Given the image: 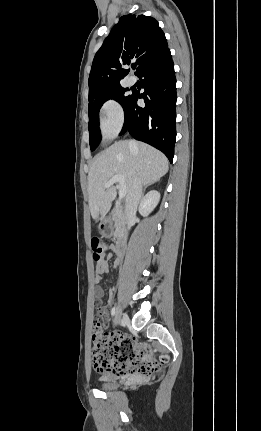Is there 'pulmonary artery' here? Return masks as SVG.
I'll return each mask as SVG.
<instances>
[{
	"mask_svg": "<svg viewBox=\"0 0 261 431\" xmlns=\"http://www.w3.org/2000/svg\"><path fill=\"white\" fill-rule=\"evenodd\" d=\"M135 83H136V80H135V78H134V77H129V78H128V84H129V85H131V86H132V85H134Z\"/></svg>",
	"mask_w": 261,
	"mask_h": 431,
	"instance_id": "obj_1",
	"label": "pulmonary artery"
}]
</instances>
